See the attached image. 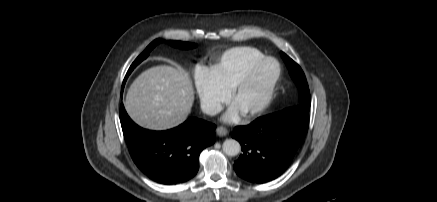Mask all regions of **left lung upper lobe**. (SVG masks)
Wrapping results in <instances>:
<instances>
[{
  "mask_svg": "<svg viewBox=\"0 0 437 202\" xmlns=\"http://www.w3.org/2000/svg\"><path fill=\"white\" fill-rule=\"evenodd\" d=\"M281 56L293 78L294 82L298 86L299 89V98L301 101L300 107L309 110L310 109V91L307 84L306 77L300 68V66L294 62L290 57H288L285 53L281 52Z\"/></svg>",
  "mask_w": 437,
  "mask_h": 202,
  "instance_id": "5c2ea615",
  "label": "left lung upper lobe"
}]
</instances>
